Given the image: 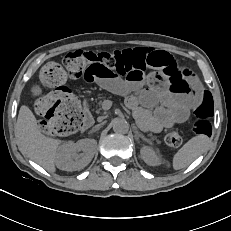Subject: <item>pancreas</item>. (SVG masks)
I'll list each match as a JSON object with an SVG mask.
<instances>
[{
	"label": "pancreas",
	"mask_w": 231,
	"mask_h": 231,
	"mask_svg": "<svg viewBox=\"0 0 231 231\" xmlns=\"http://www.w3.org/2000/svg\"><path fill=\"white\" fill-rule=\"evenodd\" d=\"M100 103L102 104V101H100ZM149 137H150L151 139H155V136H153L152 134H150Z\"/></svg>",
	"instance_id": "cf45deb5"
}]
</instances>
